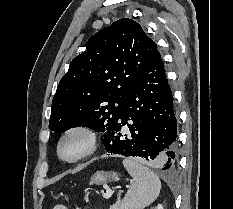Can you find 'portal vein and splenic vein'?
Masks as SVG:
<instances>
[{
	"label": "portal vein and splenic vein",
	"mask_w": 233,
	"mask_h": 209,
	"mask_svg": "<svg viewBox=\"0 0 233 209\" xmlns=\"http://www.w3.org/2000/svg\"><path fill=\"white\" fill-rule=\"evenodd\" d=\"M113 194V191L110 188L106 189V193L103 195L105 198H110Z\"/></svg>",
	"instance_id": "18ae733b"
}]
</instances>
